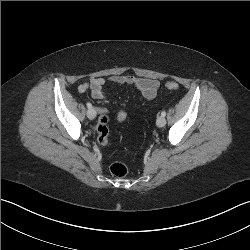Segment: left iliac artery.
Masks as SVG:
<instances>
[{"label": "left iliac artery", "mask_w": 250, "mask_h": 250, "mask_svg": "<svg viewBox=\"0 0 250 250\" xmlns=\"http://www.w3.org/2000/svg\"><path fill=\"white\" fill-rule=\"evenodd\" d=\"M161 116L165 117L166 116V112L162 111Z\"/></svg>", "instance_id": "1"}]
</instances>
